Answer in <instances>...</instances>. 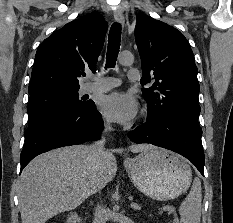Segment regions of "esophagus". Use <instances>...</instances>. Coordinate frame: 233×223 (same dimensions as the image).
I'll use <instances>...</instances> for the list:
<instances>
[{"mask_svg":"<svg viewBox=\"0 0 233 223\" xmlns=\"http://www.w3.org/2000/svg\"><path fill=\"white\" fill-rule=\"evenodd\" d=\"M114 18L116 22L120 23V25L124 24V13L120 8H117V10H115Z\"/></svg>","mask_w":233,"mask_h":223,"instance_id":"1","label":"esophagus"}]
</instances>
